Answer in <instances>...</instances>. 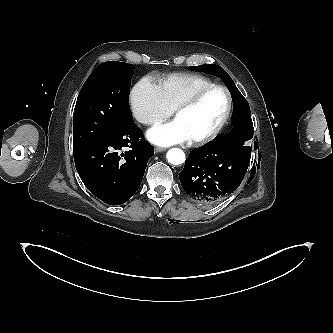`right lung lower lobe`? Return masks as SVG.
Segmentation results:
<instances>
[{
    "mask_svg": "<svg viewBox=\"0 0 333 333\" xmlns=\"http://www.w3.org/2000/svg\"><path fill=\"white\" fill-rule=\"evenodd\" d=\"M129 147V151H125ZM153 146L133 121L116 133L74 153L77 172L88 190L107 204L126 202L139 188Z\"/></svg>",
    "mask_w": 333,
    "mask_h": 333,
    "instance_id": "obj_1",
    "label": "right lung lower lobe"
}]
</instances>
